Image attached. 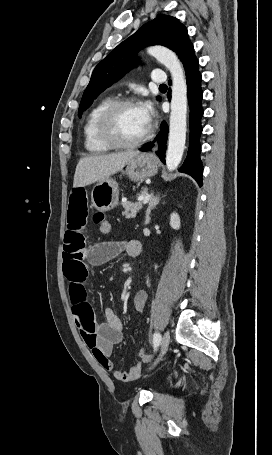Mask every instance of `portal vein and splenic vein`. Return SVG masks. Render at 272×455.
Segmentation results:
<instances>
[{
	"label": "portal vein and splenic vein",
	"mask_w": 272,
	"mask_h": 455,
	"mask_svg": "<svg viewBox=\"0 0 272 455\" xmlns=\"http://www.w3.org/2000/svg\"><path fill=\"white\" fill-rule=\"evenodd\" d=\"M150 199V195L149 194H146L143 198H142V202L143 204H146Z\"/></svg>",
	"instance_id": "18ae733b"
}]
</instances>
